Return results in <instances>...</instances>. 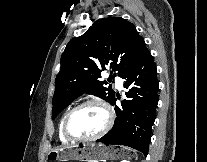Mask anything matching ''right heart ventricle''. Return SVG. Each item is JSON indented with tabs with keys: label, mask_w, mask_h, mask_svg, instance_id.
<instances>
[{
	"label": "right heart ventricle",
	"mask_w": 207,
	"mask_h": 162,
	"mask_svg": "<svg viewBox=\"0 0 207 162\" xmlns=\"http://www.w3.org/2000/svg\"><path fill=\"white\" fill-rule=\"evenodd\" d=\"M63 119H64V117L61 119L60 124H59V137H60L61 141H63V142H67V141L63 138V136H62V132H61V127H62Z\"/></svg>",
	"instance_id": "e07e8e85"
}]
</instances>
